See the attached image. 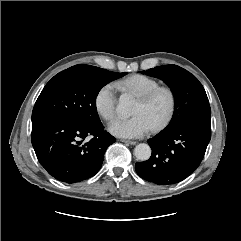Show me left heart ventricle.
Here are the masks:
<instances>
[{"mask_svg":"<svg viewBox=\"0 0 241 241\" xmlns=\"http://www.w3.org/2000/svg\"><path fill=\"white\" fill-rule=\"evenodd\" d=\"M168 107V99L165 95H160L154 101L149 104H142L138 100L132 110V114H142L149 121L151 126L165 114Z\"/></svg>","mask_w":241,"mask_h":241,"instance_id":"left-heart-ventricle-1","label":"left heart ventricle"}]
</instances>
